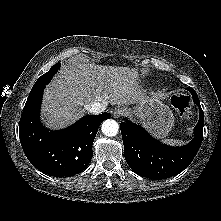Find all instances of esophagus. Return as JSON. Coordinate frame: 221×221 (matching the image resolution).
Here are the masks:
<instances>
[{
  "instance_id": "34e87169",
  "label": "esophagus",
  "mask_w": 221,
  "mask_h": 221,
  "mask_svg": "<svg viewBox=\"0 0 221 221\" xmlns=\"http://www.w3.org/2000/svg\"><path fill=\"white\" fill-rule=\"evenodd\" d=\"M126 114H127V111L123 107H118L113 112V116L115 118H119V117L125 116Z\"/></svg>"
}]
</instances>
